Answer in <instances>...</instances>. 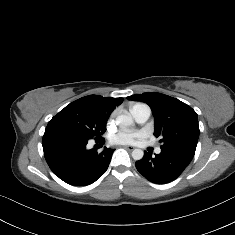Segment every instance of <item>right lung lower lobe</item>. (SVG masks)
<instances>
[{
    "mask_svg": "<svg viewBox=\"0 0 235 235\" xmlns=\"http://www.w3.org/2000/svg\"><path fill=\"white\" fill-rule=\"evenodd\" d=\"M88 141L56 125L46 127L43 136L45 159L53 173L70 185L92 184L109 166L114 150L105 148L101 153L87 150Z\"/></svg>",
    "mask_w": 235,
    "mask_h": 235,
    "instance_id": "1",
    "label": "right lung lower lobe"
}]
</instances>
